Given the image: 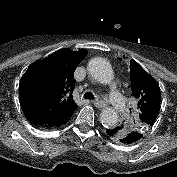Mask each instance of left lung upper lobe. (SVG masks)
<instances>
[{"label": "left lung upper lobe", "instance_id": "5c2ea615", "mask_svg": "<svg viewBox=\"0 0 177 177\" xmlns=\"http://www.w3.org/2000/svg\"><path fill=\"white\" fill-rule=\"evenodd\" d=\"M130 79L132 96L137 101L135 118L118 126L119 132L115 140L130 131L142 134L153 126L160 108L161 96L157 82L135 61H130ZM131 110V108H130Z\"/></svg>", "mask_w": 177, "mask_h": 177}]
</instances>
